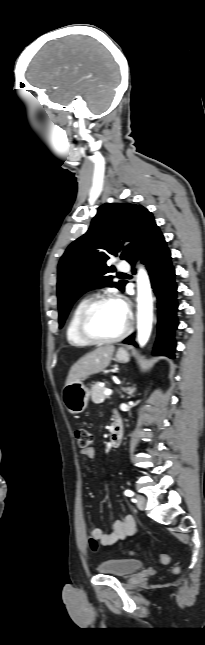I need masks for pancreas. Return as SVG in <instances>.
I'll return each instance as SVG.
<instances>
[{"label": "pancreas", "instance_id": "obj_1", "mask_svg": "<svg viewBox=\"0 0 205 645\" xmlns=\"http://www.w3.org/2000/svg\"><path fill=\"white\" fill-rule=\"evenodd\" d=\"M105 387H101L100 383L97 382L91 387V397L92 401L95 403H101L105 399L104 391Z\"/></svg>", "mask_w": 205, "mask_h": 645}]
</instances>
